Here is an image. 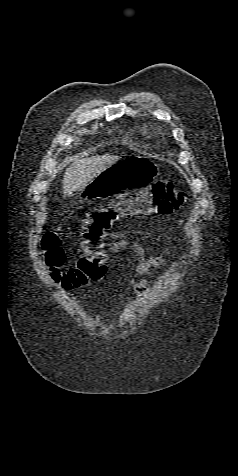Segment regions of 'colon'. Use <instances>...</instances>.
Segmentation results:
<instances>
[{"label":"colon","instance_id":"obj_1","mask_svg":"<svg viewBox=\"0 0 238 476\" xmlns=\"http://www.w3.org/2000/svg\"><path fill=\"white\" fill-rule=\"evenodd\" d=\"M188 195L171 181L156 182L138 193L109 201L92 210L82 223L85 242L83 255L76 265L61 271L65 254L59 237L47 232L42 249L53 279L64 288L72 289L98 281L106 272V244L110 230L119 221L152 215H168L179 209Z\"/></svg>","mask_w":238,"mask_h":476}]
</instances>
